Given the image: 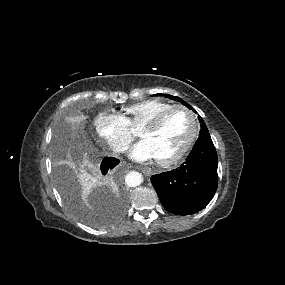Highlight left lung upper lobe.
<instances>
[{"instance_id": "1", "label": "left lung upper lobe", "mask_w": 285, "mask_h": 285, "mask_svg": "<svg viewBox=\"0 0 285 285\" xmlns=\"http://www.w3.org/2000/svg\"><path fill=\"white\" fill-rule=\"evenodd\" d=\"M156 95H158V94H156ZM159 95H162V94H159ZM164 96H166V97H168L170 99L176 100V101H180L183 105H185L189 109H192V107L188 103H186L185 101H183L179 97L171 96V95H168V94H165ZM199 120L201 121V130H200L199 137H201L203 135H206V134H209V131H208L207 127H206V124L203 122L202 118L199 117Z\"/></svg>"}]
</instances>
